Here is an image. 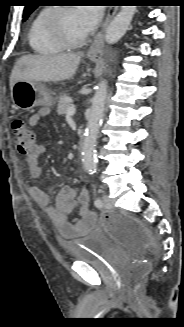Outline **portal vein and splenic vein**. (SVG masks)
Returning a JSON list of instances; mask_svg holds the SVG:
<instances>
[{
    "instance_id": "1",
    "label": "portal vein and splenic vein",
    "mask_w": 184,
    "mask_h": 327,
    "mask_svg": "<svg viewBox=\"0 0 184 327\" xmlns=\"http://www.w3.org/2000/svg\"><path fill=\"white\" fill-rule=\"evenodd\" d=\"M75 114V107L74 106H70L67 108V111H66V116L69 117V116H72Z\"/></svg>"
}]
</instances>
